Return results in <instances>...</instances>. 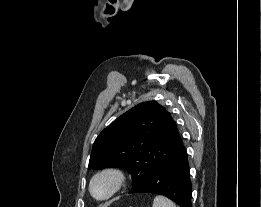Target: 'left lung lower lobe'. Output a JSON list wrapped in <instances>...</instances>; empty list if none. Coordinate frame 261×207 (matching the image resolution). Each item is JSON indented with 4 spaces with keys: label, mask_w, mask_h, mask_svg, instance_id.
Segmentation results:
<instances>
[{
    "label": "left lung lower lobe",
    "mask_w": 261,
    "mask_h": 207,
    "mask_svg": "<svg viewBox=\"0 0 261 207\" xmlns=\"http://www.w3.org/2000/svg\"><path fill=\"white\" fill-rule=\"evenodd\" d=\"M192 184L188 154L182 150L150 176L136 184L129 193H154L168 197L180 207H192Z\"/></svg>",
    "instance_id": "1"
}]
</instances>
